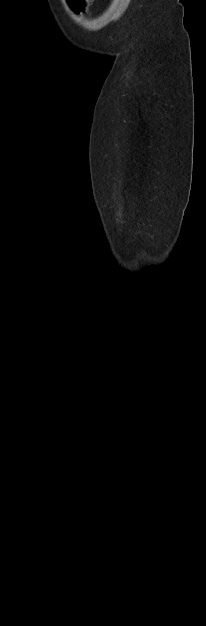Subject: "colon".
Wrapping results in <instances>:
<instances>
[{"mask_svg": "<svg viewBox=\"0 0 206 626\" xmlns=\"http://www.w3.org/2000/svg\"><path fill=\"white\" fill-rule=\"evenodd\" d=\"M93 0H68L69 5L76 12H84Z\"/></svg>", "mask_w": 206, "mask_h": 626, "instance_id": "1", "label": "colon"}]
</instances>
